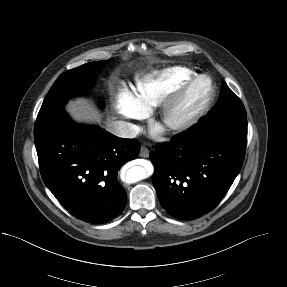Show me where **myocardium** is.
<instances>
[{
  "label": "myocardium",
  "instance_id": "1",
  "mask_svg": "<svg viewBox=\"0 0 287 287\" xmlns=\"http://www.w3.org/2000/svg\"><path fill=\"white\" fill-rule=\"evenodd\" d=\"M200 81H205L208 86L204 98L189 111L177 115L189 91ZM215 96L216 88L212 79L205 74H194L160 104L158 122L167 132L182 133L194 126L209 111Z\"/></svg>",
  "mask_w": 287,
  "mask_h": 287
}]
</instances>
